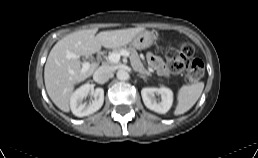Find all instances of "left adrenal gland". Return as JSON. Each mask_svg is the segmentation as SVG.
<instances>
[{"label": "left adrenal gland", "mask_w": 258, "mask_h": 158, "mask_svg": "<svg viewBox=\"0 0 258 158\" xmlns=\"http://www.w3.org/2000/svg\"><path fill=\"white\" fill-rule=\"evenodd\" d=\"M137 76L140 77V78L146 79V77L143 76V75L137 74Z\"/></svg>", "instance_id": "left-adrenal-gland-1"}]
</instances>
